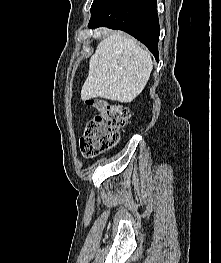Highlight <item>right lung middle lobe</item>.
Listing matches in <instances>:
<instances>
[{
	"label": "right lung middle lobe",
	"instance_id": "obj_1",
	"mask_svg": "<svg viewBox=\"0 0 221 263\" xmlns=\"http://www.w3.org/2000/svg\"><path fill=\"white\" fill-rule=\"evenodd\" d=\"M111 0H94L91 6V18L96 16Z\"/></svg>",
	"mask_w": 221,
	"mask_h": 263
}]
</instances>
